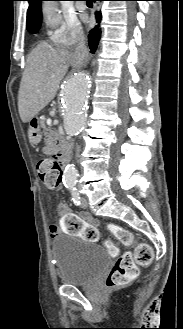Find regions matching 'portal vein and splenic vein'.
I'll return each instance as SVG.
<instances>
[{
	"label": "portal vein and splenic vein",
	"mask_w": 183,
	"mask_h": 329,
	"mask_svg": "<svg viewBox=\"0 0 183 329\" xmlns=\"http://www.w3.org/2000/svg\"><path fill=\"white\" fill-rule=\"evenodd\" d=\"M46 123H47V125H51V123H52L51 119H47Z\"/></svg>",
	"instance_id": "obj_1"
}]
</instances>
